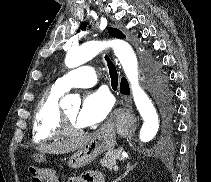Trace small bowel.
Instances as JSON below:
<instances>
[{
    "label": "small bowel",
    "mask_w": 211,
    "mask_h": 182,
    "mask_svg": "<svg viewBox=\"0 0 211 182\" xmlns=\"http://www.w3.org/2000/svg\"><path fill=\"white\" fill-rule=\"evenodd\" d=\"M32 182H38L33 175H32ZM68 182H104V178L100 172L88 171L80 176L70 177L68 179Z\"/></svg>",
    "instance_id": "small-bowel-1"
}]
</instances>
